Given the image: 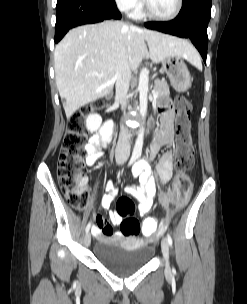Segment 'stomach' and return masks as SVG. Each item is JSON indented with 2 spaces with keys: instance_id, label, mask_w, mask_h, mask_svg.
Segmentation results:
<instances>
[{
  "instance_id": "stomach-1",
  "label": "stomach",
  "mask_w": 247,
  "mask_h": 304,
  "mask_svg": "<svg viewBox=\"0 0 247 304\" xmlns=\"http://www.w3.org/2000/svg\"><path fill=\"white\" fill-rule=\"evenodd\" d=\"M171 85L178 92H184L191 87L192 79L188 68L181 57L170 56L162 62Z\"/></svg>"
}]
</instances>
